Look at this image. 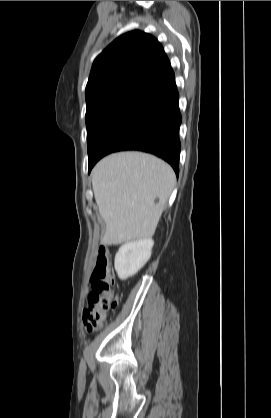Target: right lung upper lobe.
Segmentation results:
<instances>
[{"mask_svg": "<svg viewBox=\"0 0 271 418\" xmlns=\"http://www.w3.org/2000/svg\"><path fill=\"white\" fill-rule=\"evenodd\" d=\"M175 88L174 72L162 45L136 30L118 37L94 60L86 103L89 106L119 96L153 103Z\"/></svg>", "mask_w": 271, "mask_h": 418, "instance_id": "right-lung-upper-lobe-1", "label": "right lung upper lobe"}]
</instances>
